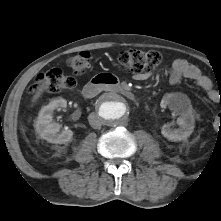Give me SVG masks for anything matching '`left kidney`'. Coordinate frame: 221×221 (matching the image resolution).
I'll use <instances>...</instances> for the list:
<instances>
[{"label": "left kidney", "instance_id": "left-kidney-1", "mask_svg": "<svg viewBox=\"0 0 221 221\" xmlns=\"http://www.w3.org/2000/svg\"><path fill=\"white\" fill-rule=\"evenodd\" d=\"M162 108L168 107L174 114L180 115L177 119L179 128L170 129L168 124L163 125L162 135L169 141H182L187 139L194 130L195 118L191 101L183 93H166L160 103Z\"/></svg>", "mask_w": 221, "mask_h": 221}]
</instances>
